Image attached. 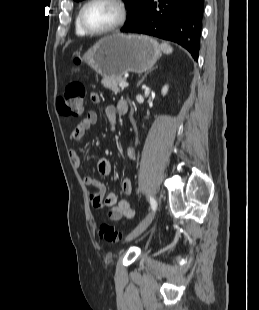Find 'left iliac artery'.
I'll return each mask as SVG.
<instances>
[{"label":"left iliac artery","instance_id":"obj_1","mask_svg":"<svg viewBox=\"0 0 259 310\" xmlns=\"http://www.w3.org/2000/svg\"><path fill=\"white\" fill-rule=\"evenodd\" d=\"M149 200H150V205H151L152 210H156V208H157L156 200L151 196H150Z\"/></svg>","mask_w":259,"mask_h":310}]
</instances>
